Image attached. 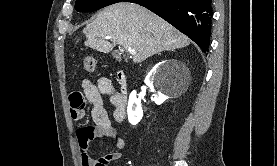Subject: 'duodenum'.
Returning a JSON list of instances; mask_svg holds the SVG:
<instances>
[{
  "instance_id": "duodenum-1",
  "label": "duodenum",
  "mask_w": 277,
  "mask_h": 166,
  "mask_svg": "<svg viewBox=\"0 0 277 166\" xmlns=\"http://www.w3.org/2000/svg\"><path fill=\"white\" fill-rule=\"evenodd\" d=\"M118 82L120 85V92L119 94V109L122 114L125 115L127 99H128V81L123 72L118 73Z\"/></svg>"
}]
</instances>
